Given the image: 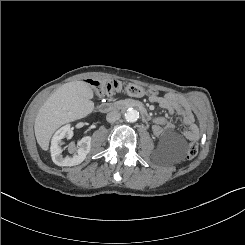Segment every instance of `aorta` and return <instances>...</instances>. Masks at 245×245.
Returning <instances> with one entry per match:
<instances>
[{
	"label": "aorta",
	"mask_w": 245,
	"mask_h": 245,
	"mask_svg": "<svg viewBox=\"0 0 245 245\" xmlns=\"http://www.w3.org/2000/svg\"><path fill=\"white\" fill-rule=\"evenodd\" d=\"M139 117V113L137 110L130 108L127 110V112L125 113V119L128 122H135L137 121Z\"/></svg>",
	"instance_id": "762f6f07"
}]
</instances>
